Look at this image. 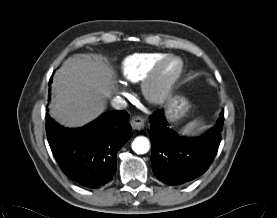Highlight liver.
I'll list each match as a JSON object with an SVG mask.
<instances>
[{
    "label": "liver",
    "instance_id": "1",
    "mask_svg": "<svg viewBox=\"0 0 277 218\" xmlns=\"http://www.w3.org/2000/svg\"><path fill=\"white\" fill-rule=\"evenodd\" d=\"M112 75L97 55L68 58L53 79L52 117L67 127L82 126L98 117L111 93Z\"/></svg>",
    "mask_w": 277,
    "mask_h": 218
}]
</instances>
